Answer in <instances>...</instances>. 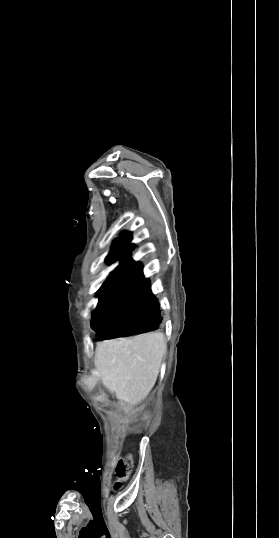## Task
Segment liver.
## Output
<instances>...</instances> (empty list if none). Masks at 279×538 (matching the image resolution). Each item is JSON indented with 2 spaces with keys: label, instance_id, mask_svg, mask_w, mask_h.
Returning a JSON list of instances; mask_svg holds the SVG:
<instances>
[{
  "label": "liver",
  "instance_id": "1",
  "mask_svg": "<svg viewBox=\"0 0 279 538\" xmlns=\"http://www.w3.org/2000/svg\"><path fill=\"white\" fill-rule=\"evenodd\" d=\"M165 352L162 332L104 340L97 344L95 366L103 386L115 392L117 400L137 406L155 386Z\"/></svg>",
  "mask_w": 279,
  "mask_h": 538
}]
</instances>
